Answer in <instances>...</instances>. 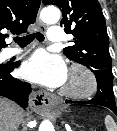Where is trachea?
Wrapping results in <instances>:
<instances>
[{
    "label": "trachea",
    "instance_id": "obj_1",
    "mask_svg": "<svg viewBox=\"0 0 117 131\" xmlns=\"http://www.w3.org/2000/svg\"><path fill=\"white\" fill-rule=\"evenodd\" d=\"M35 38L40 42L44 41L45 39L44 35L40 32L26 35L24 37H14L13 39L19 46H26L30 44Z\"/></svg>",
    "mask_w": 117,
    "mask_h": 131
}]
</instances>
